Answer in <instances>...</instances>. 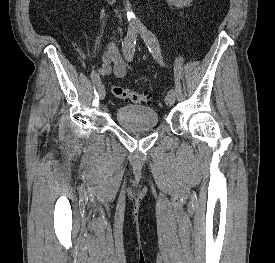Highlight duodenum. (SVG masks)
Masks as SVG:
<instances>
[{
    "label": "duodenum",
    "mask_w": 275,
    "mask_h": 263,
    "mask_svg": "<svg viewBox=\"0 0 275 263\" xmlns=\"http://www.w3.org/2000/svg\"><path fill=\"white\" fill-rule=\"evenodd\" d=\"M109 1H113V2H115V1H117V0H109Z\"/></svg>",
    "instance_id": "obj_1"
}]
</instances>
